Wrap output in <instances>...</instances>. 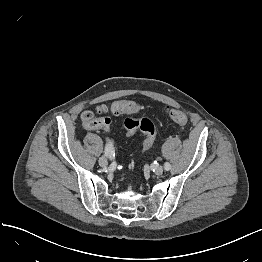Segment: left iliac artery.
I'll return each instance as SVG.
<instances>
[{
  "instance_id": "obj_1",
  "label": "left iliac artery",
  "mask_w": 262,
  "mask_h": 262,
  "mask_svg": "<svg viewBox=\"0 0 262 262\" xmlns=\"http://www.w3.org/2000/svg\"><path fill=\"white\" fill-rule=\"evenodd\" d=\"M170 168H171L170 163L165 162V164H164V169L168 171V170H170Z\"/></svg>"
}]
</instances>
